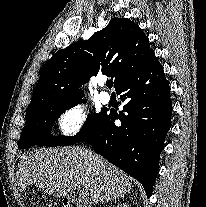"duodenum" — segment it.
<instances>
[{
	"label": "duodenum",
	"instance_id": "obj_1",
	"mask_svg": "<svg viewBox=\"0 0 206 207\" xmlns=\"http://www.w3.org/2000/svg\"><path fill=\"white\" fill-rule=\"evenodd\" d=\"M65 207H79L73 199H68Z\"/></svg>",
	"mask_w": 206,
	"mask_h": 207
}]
</instances>
